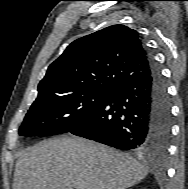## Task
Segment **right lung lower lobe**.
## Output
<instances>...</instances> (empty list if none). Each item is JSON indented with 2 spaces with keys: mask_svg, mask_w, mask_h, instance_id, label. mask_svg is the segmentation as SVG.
Listing matches in <instances>:
<instances>
[{
  "mask_svg": "<svg viewBox=\"0 0 188 189\" xmlns=\"http://www.w3.org/2000/svg\"><path fill=\"white\" fill-rule=\"evenodd\" d=\"M149 72L113 89L70 133L123 150L165 153L171 107L165 81L148 53Z\"/></svg>",
  "mask_w": 188,
  "mask_h": 189,
  "instance_id": "98d812e1",
  "label": "right lung lower lobe"
}]
</instances>
